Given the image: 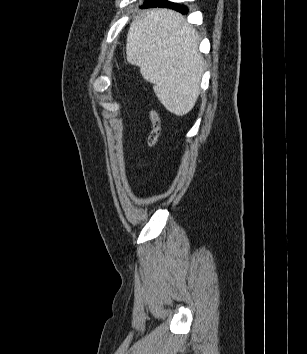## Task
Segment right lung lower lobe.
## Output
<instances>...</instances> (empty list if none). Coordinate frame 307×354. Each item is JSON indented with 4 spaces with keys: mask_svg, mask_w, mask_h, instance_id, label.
<instances>
[{
    "mask_svg": "<svg viewBox=\"0 0 307 354\" xmlns=\"http://www.w3.org/2000/svg\"><path fill=\"white\" fill-rule=\"evenodd\" d=\"M144 6L145 7H154V6L169 7L178 10L182 13H187V8L185 6H179L176 3L167 2V0H148L144 4Z\"/></svg>",
    "mask_w": 307,
    "mask_h": 354,
    "instance_id": "98d812e1",
    "label": "right lung lower lobe"
}]
</instances>
